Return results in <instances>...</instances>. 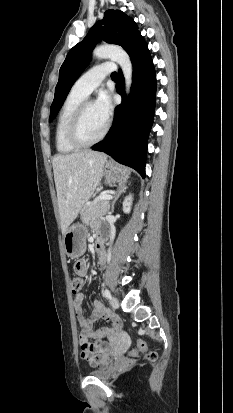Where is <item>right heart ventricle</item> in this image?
<instances>
[{
    "instance_id": "e07e8e85",
    "label": "right heart ventricle",
    "mask_w": 233,
    "mask_h": 413,
    "mask_svg": "<svg viewBox=\"0 0 233 413\" xmlns=\"http://www.w3.org/2000/svg\"><path fill=\"white\" fill-rule=\"evenodd\" d=\"M85 98V95L72 89L61 106L55 129L56 148L61 153H70L78 148L69 142L67 127L74 111Z\"/></svg>"
}]
</instances>
